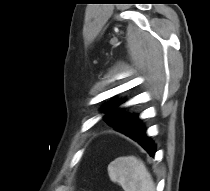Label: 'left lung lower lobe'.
<instances>
[{
  "label": "left lung lower lobe",
  "instance_id": "obj_1",
  "mask_svg": "<svg viewBox=\"0 0 210 191\" xmlns=\"http://www.w3.org/2000/svg\"><path fill=\"white\" fill-rule=\"evenodd\" d=\"M126 135L135 140L136 142H138L149 153L150 156L154 157L155 154L154 142H152L149 139V137L146 136L145 129L143 128L142 124L138 129L131 131L129 132V134Z\"/></svg>",
  "mask_w": 210,
  "mask_h": 191
}]
</instances>
